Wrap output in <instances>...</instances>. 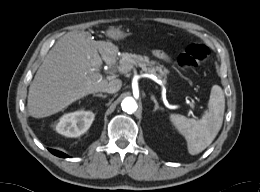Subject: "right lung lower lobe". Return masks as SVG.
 <instances>
[{
	"mask_svg": "<svg viewBox=\"0 0 260 192\" xmlns=\"http://www.w3.org/2000/svg\"><path fill=\"white\" fill-rule=\"evenodd\" d=\"M49 151H50L52 154H54V155H56V156H58V157H62V158H67V157H68V155H66V154H64V153H62V152H60V151H57V150L49 149Z\"/></svg>",
	"mask_w": 260,
	"mask_h": 192,
	"instance_id": "obj_1",
	"label": "right lung lower lobe"
}]
</instances>
